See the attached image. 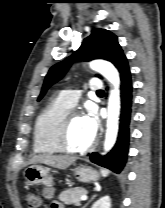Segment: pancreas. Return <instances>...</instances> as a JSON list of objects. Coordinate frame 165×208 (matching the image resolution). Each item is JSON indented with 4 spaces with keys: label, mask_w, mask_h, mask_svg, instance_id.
<instances>
[{
    "label": "pancreas",
    "mask_w": 165,
    "mask_h": 208,
    "mask_svg": "<svg viewBox=\"0 0 165 208\" xmlns=\"http://www.w3.org/2000/svg\"><path fill=\"white\" fill-rule=\"evenodd\" d=\"M86 194V189L83 187H74L62 191L59 195V200L66 205L80 206V198Z\"/></svg>",
    "instance_id": "pancreas-1"
}]
</instances>
